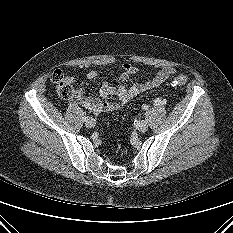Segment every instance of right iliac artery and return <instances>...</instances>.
<instances>
[{"mask_svg": "<svg viewBox=\"0 0 233 233\" xmlns=\"http://www.w3.org/2000/svg\"><path fill=\"white\" fill-rule=\"evenodd\" d=\"M82 120H83V121H87V120H88V117H87V116H84V117H82Z\"/></svg>", "mask_w": 233, "mask_h": 233, "instance_id": "82829eb1", "label": "right iliac artery"}]
</instances>
